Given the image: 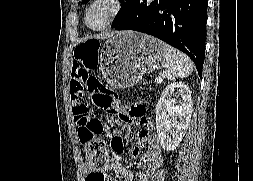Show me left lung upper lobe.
<instances>
[{
  "label": "left lung upper lobe",
  "instance_id": "5c2ea615",
  "mask_svg": "<svg viewBox=\"0 0 253 181\" xmlns=\"http://www.w3.org/2000/svg\"><path fill=\"white\" fill-rule=\"evenodd\" d=\"M88 1L89 0H83L82 3L85 4ZM135 1L136 0H121L122 6L112 23V27L116 26L127 16V14L132 10Z\"/></svg>",
  "mask_w": 253,
  "mask_h": 181
}]
</instances>
